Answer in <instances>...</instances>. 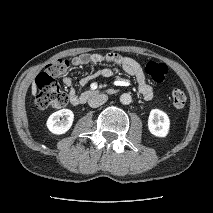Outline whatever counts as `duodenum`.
I'll list each match as a JSON object with an SVG mask.
<instances>
[{"instance_id":"1","label":"duodenum","mask_w":213,"mask_h":213,"mask_svg":"<svg viewBox=\"0 0 213 213\" xmlns=\"http://www.w3.org/2000/svg\"><path fill=\"white\" fill-rule=\"evenodd\" d=\"M115 92H116L115 89L107 90V93H109V94H113ZM99 93H100L99 91H94V90L85 91L84 93H82L79 96V103H83V102L87 101L89 98L98 95Z\"/></svg>"}]
</instances>
